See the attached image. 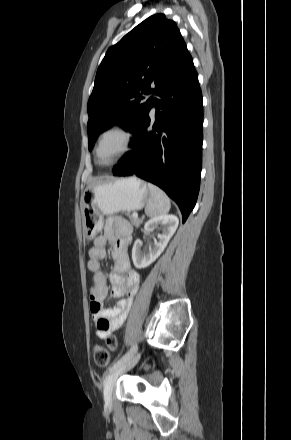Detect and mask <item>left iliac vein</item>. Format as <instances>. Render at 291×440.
Here are the masks:
<instances>
[{"mask_svg": "<svg viewBox=\"0 0 291 440\" xmlns=\"http://www.w3.org/2000/svg\"><path fill=\"white\" fill-rule=\"evenodd\" d=\"M140 355L139 353L134 354L129 361H127L125 364L119 366L115 370H113L109 376L106 379L105 385H104V399L106 403H110L112 399V393L113 388L116 383L117 378L122 375L127 369H131L134 367L137 362L139 361Z\"/></svg>", "mask_w": 291, "mask_h": 440, "instance_id": "obj_1", "label": "left iliac vein"}]
</instances>
